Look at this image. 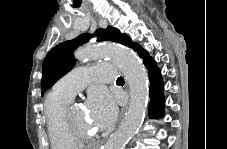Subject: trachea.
<instances>
[{"label":"trachea","mask_w":227,"mask_h":149,"mask_svg":"<svg viewBox=\"0 0 227 149\" xmlns=\"http://www.w3.org/2000/svg\"><path fill=\"white\" fill-rule=\"evenodd\" d=\"M116 82H124L123 77H121V76H120V77H118V78H117V80H116Z\"/></svg>","instance_id":"1"}]
</instances>
